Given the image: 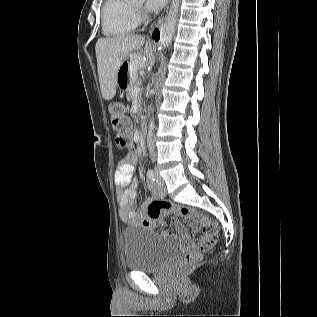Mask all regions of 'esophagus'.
<instances>
[{"mask_svg":"<svg viewBox=\"0 0 317 317\" xmlns=\"http://www.w3.org/2000/svg\"><path fill=\"white\" fill-rule=\"evenodd\" d=\"M151 37L153 38L154 42L160 43L163 41V24L161 21L152 29Z\"/></svg>","mask_w":317,"mask_h":317,"instance_id":"obj_1","label":"esophagus"}]
</instances>
